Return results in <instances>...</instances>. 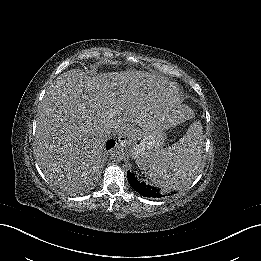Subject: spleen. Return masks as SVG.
Masks as SVG:
<instances>
[{"label":"spleen","instance_id":"3e777b00","mask_svg":"<svg viewBox=\"0 0 261 261\" xmlns=\"http://www.w3.org/2000/svg\"><path fill=\"white\" fill-rule=\"evenodd\" d=\"M199 138V132L190 126L177 143L147 154L137 165L157 186L164 189L180 188L184 180L188 179L190 169L200 162ZM179 165L185 166V169L178 173Z\"/></svg>","mask_w":261,"mask_h":261}]
</instances>
